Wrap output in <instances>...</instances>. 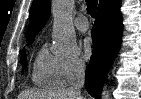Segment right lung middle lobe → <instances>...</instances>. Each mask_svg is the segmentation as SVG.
Returning <instances> with one entry per match:
<instances>
[{"mask_svg":"<svg viewBox=\"0 0 141 99\" xmlns=\"http://www.w3.org/2000/svg\"><path fill=\"white\" fill-rule=\"evenodd\" d=\"M22 67L23 69L27 68V58H26L25 53H23Z\"/></svg>","mask_w":141,"mask_h":99,"instance_id":"obj_1","label":"right lung middle lobe"}]
</instances>
